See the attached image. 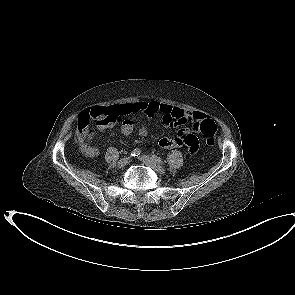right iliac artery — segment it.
I'll return each mask as SVG.
<instances>
[{
    "label": "right iliac artery",
    "mask_w": 295,
    "mask_h": 295,
    "mask_svg": "<svg viewBox=\"0 0 295 295\" xmlns=\"http://www.w3.org/2000/svg\"><path fill=\"white\" fill-rule=\"evenodd\" d=\"M140 154H141V150L138 149V148L134 149V150L131 152V156H133V157H137V156H139Z\"/></svg>",
    "instance_id": "right-iliac-artery-1"
}]
</instances>
